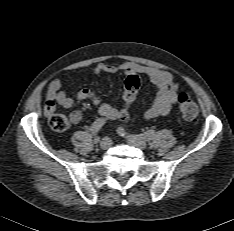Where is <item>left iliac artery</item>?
Listing matches in <instances>:
<instances>
[{
  "label": "left iliac artery",
  "instance_id": "1",
  "mask_svg": "<svg viewBox=\"0 0 234 231\" xmlns=\"http://www.w3.org/2000/svg\"><path fill=\"white\" fill-rule=\"evenodd\" d=\"M117 132L120 136H123V137H127V138H132V139H139V140H145V141H150L153 139V137L155 136V131L154 130H148L147 132H144L142 134H139V135H131V134H128L124 128L122 127H119L117 129Z\"/></svg>",
  "mask_w": 234,
  "mask_h": 231
}]
</instances>
